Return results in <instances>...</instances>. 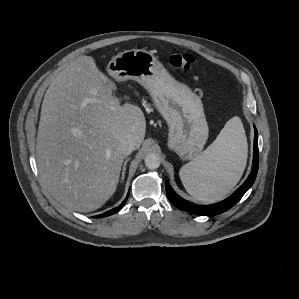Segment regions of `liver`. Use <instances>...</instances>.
<instances>
[{
	"label": "liver",
	"instance_id": "obj_1",
	"mask_svg": "<svg viewBox=\"0 0 299 299\" xmlns=\"http://www.w3.org/2000/svg\"><path fill=\"white\" fill-rule=\"evenodd\" d=\"M112 90L94 59L82 55L55 77L43 99L38 170L49 194L74 211H94L115 193L124 161L120 143L132 140L139 148L145 137L141 108L120 105Z\"/></svg>",
	"mask_w": 299,
	"mask_h": 299
}]
</instances>
